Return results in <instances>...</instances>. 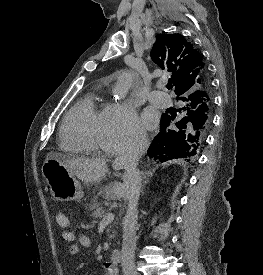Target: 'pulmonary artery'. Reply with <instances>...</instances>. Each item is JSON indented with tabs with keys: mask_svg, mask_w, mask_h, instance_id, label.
I'll return each mask as SVG.
<instances>
[{
	"mask_svg": "<svg viewBox=\"0 0 263 275\" xmlns=\"http://www.w3.org/2000/svg\"><path fill=\"white\" fill-rule=\"evenodd\" d=\"M149 100L151 103L161 108L171 105V99L168 94L160 90L152 91L149 94Z\"/></svg>",
	"mask_w": 263,
	"mask_h": 275,
	"instance_id": "1",
	"label": "pulmonary artery"
}]
</instances>
